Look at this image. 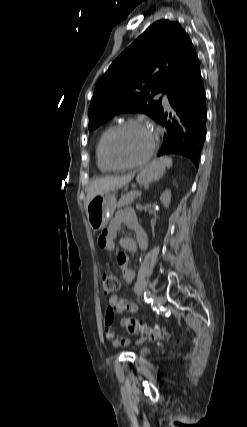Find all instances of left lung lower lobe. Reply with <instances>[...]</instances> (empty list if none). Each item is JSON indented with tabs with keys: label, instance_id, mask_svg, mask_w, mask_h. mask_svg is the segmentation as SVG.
<instances>
[{
	"label": "left lung lower lobe",
	"instance_id": "obj_1",
	"mask_svg": "<svg viewBox=\"0 0 247 427\" xmlns=\"http://www.w3.org/2000/svg\"><path fill=\"white\" fill-rule=\"evenodd\" d=\"M172 112L163 108L157 121L166 128L158 156L181 154L199 166V156L206 138V94L199 62L190 75L167 93ZM170 119H167V117Z\"/></svg>",
	"mask_w": 247,
	"mask_h": 427
}]
</instances>
